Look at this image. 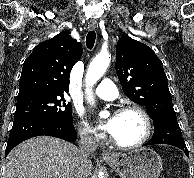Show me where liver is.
Returning a JSON list of instances; mask_svg holds the SVG:
<instances>
[{
  "mask_svg": "<svg viewBox=\"0 0 194 178\" xmlns=\"http://www.w3.org/2000/svg\"><path fill=\"white\" fill-rule=\"evenodd\" d=\"M80 162L79 149L64 140L39 136L14 148L6 159L3 178H73ZM85 176L92 170L89 159Z\"/></svg>",
  "mask_w": 194,
  "mask_h": 178,
  "instance_id": "1",
  "label": "liver"
}]
</instances>
